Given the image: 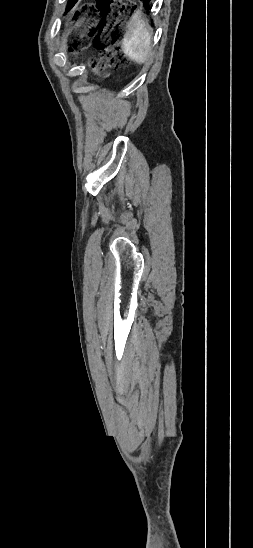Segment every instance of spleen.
I'll list each match as a JSON object with an SVG mask.
<instances>
[{"label": "spleen", "mask_w": 253, "mask_h": 548, "mask_svg": "<svg viewBox=\"0 0 253 548\" xmlns=\"http://www.w3.org/2000/svg\"><path fill=\"white\" fill-rule=\"evenodd\" d=\"M122 48L124 54L137 63H144L149 57L151 34L148 24L141 19L140 11H137L128 23Z\"/></svg>", "instance_id": "3e777b00"}]
</instances>
